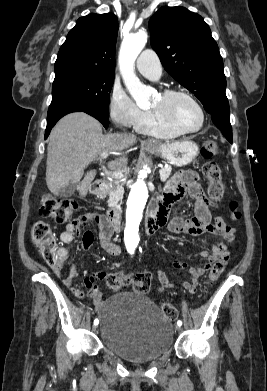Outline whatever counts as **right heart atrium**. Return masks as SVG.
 <instances>
[{"label": "right heart atrium", "instance_id": "right-heart-atrium-1", "mask_svg": "<svg viewBox=\"0 0 267 391\" xmlns=\"http://www.w3.org/2000/svg\"><path fill=\"white\" fill-rule=\"evenodd\" d=\"M108 109L111 120L121 127L137 129L147 116V111L139 108L137 104L119 88L113 89Z\"/></svg>", "mask_w": 267, "mask_h": 391}]
</instances>
